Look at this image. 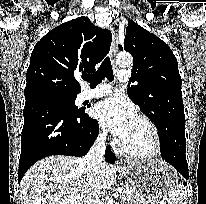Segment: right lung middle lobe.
<instances>
[{"instance_id":"dd1d6c3e","label":"right lung middle lobe","mask_w":206,"mask_h":204,"mask_svg":"<svg viewBox=\"0 0 206 204\" xmlns=\"http://www.w3.org/2000/svg\"><path fill=\"white\" fill-rule=\"evenodd\" d=\"M75 99L76 95H60L47 93L26 98L25 105L45 101L49 103L59 104L66 108L69 112L79 113L81 112V110L75 106Z\"/></svg>"}]
</instances>
